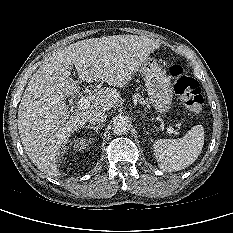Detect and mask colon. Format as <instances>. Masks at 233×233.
Listing matches in <instances>:
<instances>
[{
  "label": "colon",
  "instance_id": "5ec220e1",
  "mask_svg": "<svg viewBox=\"0 0 233 233\" xmlns=\"http://www.w3.org/2000/svg\"><path fill=\"white\" fill-rule=\"evenodd\" d=\"M170 76L176 94L184 100L192 114L199 115L204 105V97L199 83L178 64L171 66Z\"/></svg>",
  "mask_w": 233,
  "mask_h": 233
}]
</instances>
